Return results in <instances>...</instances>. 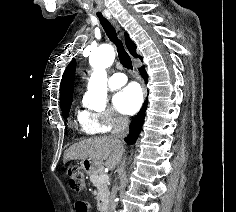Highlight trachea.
<instances>
[{"label": "trachea", "instance_id": "trachea-1", "mask_svg": "<svg viewBox=\"0 0 236 212\" xmlns=\"http://www.w3.org/2000/svg\"><path fill=\"white\" fill-rule=\"evenodd\" d=\"M97 16L108 38L116 46L118 57L120 59L121 64L125 68L132 70L133 69L132 60L129 54L126 52L122 41L119 40V38L117 37V33L114 26L105 17H103L101 13H97Z\"/></svg>", "mask_w": 236, "mask_h": 212}]
</instances>
